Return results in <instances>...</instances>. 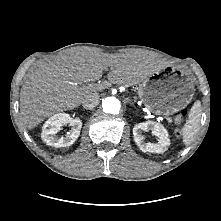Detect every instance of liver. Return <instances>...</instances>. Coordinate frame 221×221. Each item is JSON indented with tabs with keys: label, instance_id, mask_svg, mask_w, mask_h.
Returning a JSON list of instances; mask_svg holds the SVG:
<instances>
[{
	"label": "liver",
	"instance_id": "liver-1",
	"mask_svg": "<svg viewBox=\"0 0 221 221\" xmlns=\"http://www.w3.org/2000/svg\"><path fill=\"white\" fill-rule=\"evenodd\" d=\"M109 82L84 86L102 77ZM158 70L155 60L141 53L106 54L95 49L69 50L42 61L27 73L20 91L23 124L33 129L46 118L71 110L92 94L111 84L133 86ZM103 88V89H104Z\"/></svg>",
	"mask_w": 221,
	"mask_h": 221
}]
</instances>
